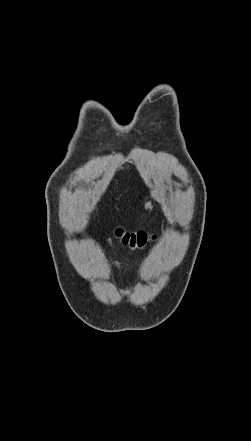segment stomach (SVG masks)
<instances>
[{"instance_id":"stomach-1","label":"stomach","mask_w":251,"mask_h":441,"mask_svg":"<svg viewBox=\"0 0 251 441\" xmlns=\"http://www.w3.org/2000/svg\"><path fill=\"white\" fill-rule=\"evenodd\" d=\"M145 208L151 210L153 208L152 203L151 202H147L145 204Z\"/></svg>"}]
</instances>
